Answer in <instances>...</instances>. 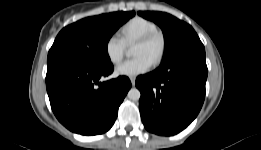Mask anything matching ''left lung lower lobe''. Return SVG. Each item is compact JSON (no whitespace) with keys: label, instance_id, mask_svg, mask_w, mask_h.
Masks as SVG:
<instances>
[{"label":"left lung lower lobe","instance_id":"1","mask_svg":"<svg viewBox=\"0 0 261 150\" xmlns=\"http://www.w3.org/2000/svg\"><path fill=\"white\" fill-rule=\"evenodd\" d=\"M208 69L199 37L178 46L154 71L140 75L139 109L145 128L171 136L185 129L198 115L205 98Z\"/></svg>","mask_w":261,"mask_h":150}]
</instances>
